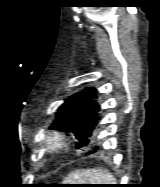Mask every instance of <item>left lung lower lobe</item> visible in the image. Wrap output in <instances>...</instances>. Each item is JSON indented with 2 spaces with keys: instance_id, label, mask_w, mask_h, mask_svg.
Wrapping results in <instances>:
<instances>
[{
  "instance_id": "1",
  "label": "left lung lower lobe",
  "mask_w": 160,
  "mask_h": 187,
  "mask_svg": "<svg viewBox=\"0 0 160 187\" xmlns=\"http://www.w3.org/2000/svg\"><path fill=\"white\" fill-rule=\"evenodd\" d=\"M98 146H95V149L92 152H96V150H98Z\"/></svg>"
}]
</instances>
